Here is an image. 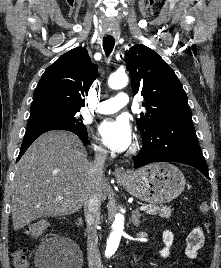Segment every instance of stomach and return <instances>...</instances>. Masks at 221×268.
<instances>
[{"label": "stomach", "instance_id": "stomach-1", "mask_svg": "<svg viewBox=\"0 0 221 268\" xmlns=\"http://www.w3.org/2000/svg\"><path fill=\"white\" fill-rule=\"evenodd\" d=\"M119 181L131 195L151 204L168 203L177 198L185 187L182 172L166 162L131 171Z\"/></svg>", "mask_w": 221, "mask_h": 268}]
</instances>
